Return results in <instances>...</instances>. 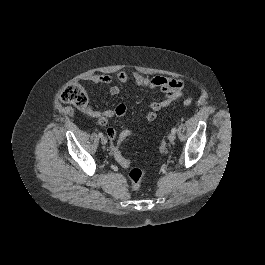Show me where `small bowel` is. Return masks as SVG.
I'll return each mask as SVG.
<instances>
[{"instance_id": "small-bowel-1", "label": "small bowel", "mask_w": 265, "mask_h": 265, "mask_svg": "<svg viewBox=\"0 0 265 265\" xmlns=\"http://www.w3.org/2000/svg\"><path fill=\"white\" fill-rule=\"evenodd\" d=\"M115 78L122 84L127 83L129 80V76L125 71L117 72ZM132 78L137 85L147 89L159 88L166 96L163 101H154L150 104V111L145 113V118L148 121L155 120L164 108L168 107L173 101L181 97L185 88V84L182 80L171 77L156 76L149 78L138 72H134ZM85 80L90 81L93 84L107 86L108 92L112 96L120 93V87L114 84V78L110 75L91 74L85 77ZM126 111L127 109L124 104H118L114 109L102 112H92L90 115L96 117L100 125L105 126L109 119L113 117L121 118L126 114ZM114 130L117 131L116 129Z\"/></svg>"}]
</instances>
